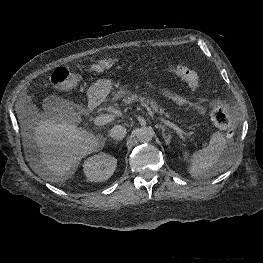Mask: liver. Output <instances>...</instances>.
Here are the masks:
<instances>
[{"mask_svg": "<svg viewBox=\"0 0 263 263\" xmlns=\"http://www.w3.org/2000/svg\"><path fill=\"white\" fill-rule=\"evenodd\" d=\"M23 145L32 139L39 157L27 156L32 169L42 178L59 182L69 178L82 158L99 151L105 139L71 122H56L26 109H17Z\"/></svg>", "mask_w": 263, "mask_h": 263, "instance_id": "6515ba94", "label": "liver"}]
</instances>
